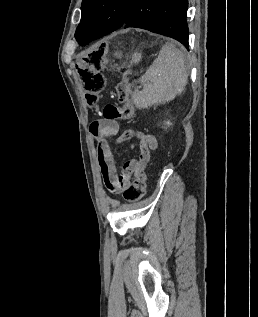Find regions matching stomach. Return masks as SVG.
<instances>
[{
    "mask_svg": "<svg viewBox=\"0 0 258 317\" xmlns=\"http://www.w3.org/2000/svg\"><path fill=\"white\" fill-rule=\"evenodd\" d=\"M117 54H119V52H117ZM141 58H142L141 52H133L132 62H139V60H141Z\"/></svg>",
    "mask_w": 258,
    "mask_h": 317,
    "instance_id": "0dacf381",
    "label": "stomach"
}]
</instances>
